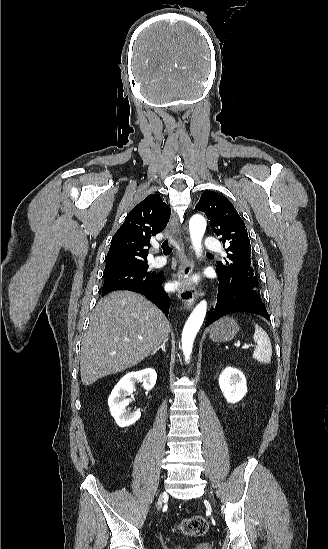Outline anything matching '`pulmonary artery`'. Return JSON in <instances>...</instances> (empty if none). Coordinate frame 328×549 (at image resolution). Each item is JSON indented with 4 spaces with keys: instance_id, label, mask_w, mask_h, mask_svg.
<instances>
[{
    "instance_id": "pulmonary-artery-1",
    "label": "pulmonary artery",
    "mask_w": 328,
    "mask_h": 549,
    "mask_svg": "<svg viewBox=\"0 0 328 549\" xmlns=\"http://www.w3.org/2000/svg\"><path fill=\"white\" fill-rule=\"evenodd\" d=\"M220 243L218 241H209L206 248L209 252H218L220 250ZM165 264V259L161 256H151L149 258V266L152 268H158Z\"/></svg>"
}]
</instances>
